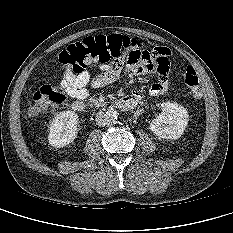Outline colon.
<instances>
[{
    "mask_svg": "<svg viewBox=\"0 0 233 233\" xmlns=\"http://www.w3.org/2000/svg\"><path fill=\"white\" fill-rule=\"evenodd\" d=\"M138 43L134 38L123 35L88 37L68 46L60 53L59 63L64 74H80L92 63L106 65L115 60L124 62L125 54ZM180 79L195 97L202 95L200 79L191 67H187ZM64 86L45 85L33 95V103L29 109L31 115H38L65 101Z\"/></svg>",
    "mask_w": 233,
    "mask_h": 233,
    "instance_id": "obj_1",
    "label": "colon"
}]
</instances>
